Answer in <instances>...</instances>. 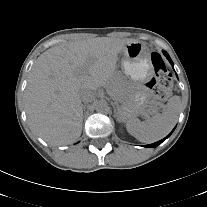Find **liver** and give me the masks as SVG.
<instances>
[{
  "mask_svg": "<svg viewBox=\"0 0 207 207\" xmlns=\"http://www.w3.org/2000/svg\"><path fill=\"white\" fill-rule=\"evenodd\" d=\"M132 42L97 37L62 43L42 53L25 90L30 128L51 145L75 142L82 131L80 92L106 87L119 53Z\"/></svg>",
  "mask_w": 207,
  "mask_h": 207,
  "instance_id": "liver-1",
  "label": "liver"
}]
</instances>
